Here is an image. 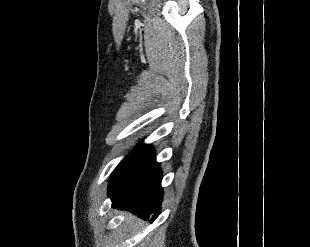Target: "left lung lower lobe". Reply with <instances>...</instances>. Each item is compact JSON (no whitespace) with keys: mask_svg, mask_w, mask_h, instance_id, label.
I'll return each mask as SVG.
<instances>
[{"mask_svg":"<svg viewBox=\"0 0 310 247\" xmlns=\"http://www.w3.org/2000/svg\"><path fill=\"white\" fill-rule=\"evenodd\" d=\"M149 145L137 146L116 168L110 178L109 197L112 206L130 210L147 220L157 217L162 200V171Z\"/></svg>","mask_w":310,"mask_h":247,"instance_id":"1","label":"left lung lower lobe"}]
</instances>
